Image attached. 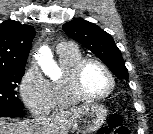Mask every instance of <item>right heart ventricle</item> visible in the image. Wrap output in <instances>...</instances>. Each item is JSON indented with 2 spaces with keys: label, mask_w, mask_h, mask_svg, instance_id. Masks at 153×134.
<instances>
[{
  "label": "right heart ventricle",
  "mask_w": 153,
  "mask_h": 134,
  "mask_svg": "<svg viewBox=\"0 0 153 134\" xmlns=\"http://www.w3.org/2000/svg\"><path fill=\"white\" fill-rule=\"evenodd\" d=\"M59 63L63 75L59 79L49 82L50 86V110H59L74 106L80 102L71 92L69 74L73 67L82 59L80 51L76 48L58 53Z\"/></svg>",
  "instance_id": "1"
}]
</instances>
